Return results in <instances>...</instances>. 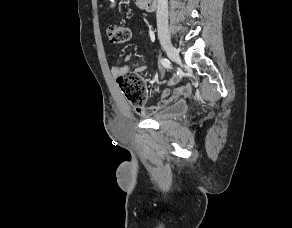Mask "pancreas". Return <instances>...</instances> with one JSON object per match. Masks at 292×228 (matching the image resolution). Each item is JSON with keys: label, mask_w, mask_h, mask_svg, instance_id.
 <instances>
[{"label": "pancreas", "mask_w": 292, "mask_h": 228, "mask_svg": "<svg viewBox=\"0 0 292 228\" xmlns=\"http://www.w3.org/2000/svg\"><path fill=\"white\" fill-rule=\"evenodd\" d=\"M141 0H136V3H139Z\"/></svg>", "instance_id": "pancreas-1"}]
</instances>
